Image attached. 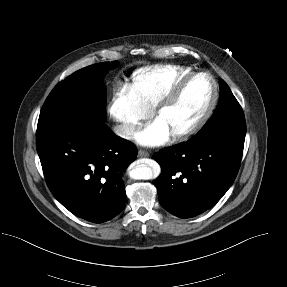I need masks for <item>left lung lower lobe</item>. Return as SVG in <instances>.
<instances>
[{
	"label": "left lung lower lobe",
	"mask_w": 287,
	"mask_h": 287,
	"mask_svg": "<svg viewBox=\"0 0 287 287\" xmlns=\"http://www.w3.org/2000/svg\"><path fill=\"white\" fill-rule=\"evenodd\" d=\"M243 146L191 138L155 153L162 169L155 182L161 206L179 218L212 208L233 184Z\"/></svg>",
	"instance_id": "left-lung-lower-lobe-1"
}]
</instances>
